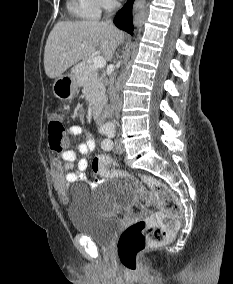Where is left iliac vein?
I'll list each match as a JSON object with an SVG mask.
<instances>
[{"label":"left iliac vein","instance_id":"4c4485c4","mask_svg":"<svg viewBox=\"0 0 233 284\" xmlns=\"http://www.w3.org/2000/svg\"><path fill=\"white\" fill-rule=\"evenodd\" d=\"M113 150L114 152L118 153V154H121L124 152V145L123 143L121 142V140L119 138H117L115 141H114V147H113Z\"/></svg>","mask_w":233,"mask_h":284}]
</instances>
